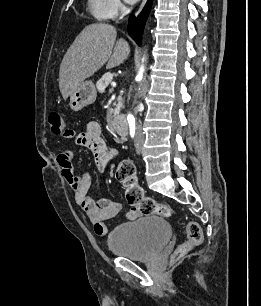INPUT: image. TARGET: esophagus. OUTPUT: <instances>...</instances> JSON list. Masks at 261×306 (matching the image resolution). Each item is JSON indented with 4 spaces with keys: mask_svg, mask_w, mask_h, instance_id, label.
<instances>
[{
    "mask_svg": "<svg viewBox=\"0 0 261 306\" xmlns=\"http://www.w3.org/2000/svg\"><path fill=\"white\" fill-rule=\"evenodd\" d=\"M146 1H147V0H143V1H142L141 6H140L139 10L137 11L136 15H138V14L141 12V10L143 9V7H144Z\"/></svg>",
    "mask_w": 261,
    "mask_h": 306,
    "instance_id": "1",
    "label": "esophagus"
}]
</instances>
